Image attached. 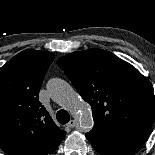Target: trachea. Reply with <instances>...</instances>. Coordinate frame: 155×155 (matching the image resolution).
<instances>
[{"mask_svg":"<svg viewBox=\"0 0 155 155\" xmlns=\"http://www.w3.org/2000/svg\"><path fill=\"white\" fill-rule=\"evenodd\" d=\"M57 120L60 124H66L70 120V115L66 110H59L56 114Z\"/></svg>","mask_w":155,"mask_h":155,"instance_id":"1","label":"trachea"}]
</instances>
